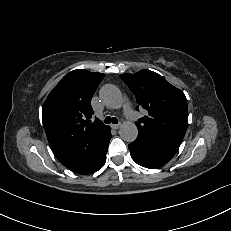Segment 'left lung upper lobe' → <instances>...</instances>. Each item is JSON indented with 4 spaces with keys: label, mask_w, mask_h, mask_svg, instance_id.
Listing matches in <instances>:
<instances>
[{
    "label": "left lung upper lobe",
    "mask_w": 231,
    "mask_h": 231,
    "mask_svg": "<svg viewBox=\"0 0 231 231\" xmlns=\"http://www.w3.org/2000/svg\"><path fill=\"white\" fill-rule=\"evenodd\" d=\"M120 77L135 94L137 104L148 111L136 122L138 134L179 147L188 125L184 93L153 71L141 70Z\"/></svg>",
    "instance_id": "obj_1"
}]
</instances>
